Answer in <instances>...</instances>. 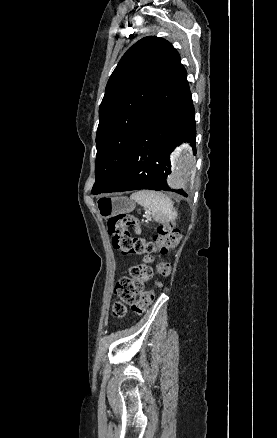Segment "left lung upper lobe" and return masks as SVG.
Instances as JSON below:
<instances>
[{"mask_svg": "<svg viewBox=\"0 0 277 438\" xmlns=\"http://www.w3.org/2000/svg\"><path fill=\"white\" fill-rule=\"evenodd\" d=\"M194 113L186 70L176 49L149 36L130 47L107 83L96 133V182L93 194L117 180L128 159L139 114L149 98Z\"/></svg>", "mask_w": 277, "mask_h": 438, "instance_id": "obj_1", "label": "left lung upper lobe"}]
</instances>
